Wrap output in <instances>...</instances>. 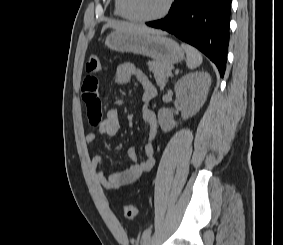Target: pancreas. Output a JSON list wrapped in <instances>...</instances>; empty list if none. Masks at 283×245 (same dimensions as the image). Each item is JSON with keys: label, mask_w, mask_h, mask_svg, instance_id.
<instances>
[{"label": "pancreas", "mask_w": 283, "mask_h": 245, "mask_svg": "<svg viewBox=\"0 0 283 245\" xmlns=\"http://www.w3.org/2000/svg\"><path fill=\"white\" fill-rule=\"evenodd\" d=\"M148 68L153 72L157 85L163 88L167 82L168 76H170L169 72L172 66L160 61H150L148 62Z\"/></svg>", "instance_id": "obj_1"}]
</instances>
